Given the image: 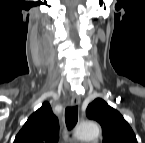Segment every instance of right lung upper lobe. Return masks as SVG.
Listing matches in <instances>:
<instances>
[{"instance_id": "obj_1", "label": "right lung upper lobe", "mask_w": 145, "mask_h": 143, "mask_svg": "<svg viewBox=\"0 0 145 143\" xmlns=\"http://www.w3.org/2000/svg\"><path fill=\"white\" fill-rule=\"evenodd\" d=\"M59 135V123L50 104L44 102L35 111L15 138V143H56Z\"/></svg>"}]
</instances>
